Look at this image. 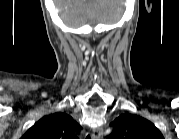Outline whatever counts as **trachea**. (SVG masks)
Returning <instances> with one entry per match:
<instances>
[{"mask_svg":"<svg viewBox=\"0 0 179 139\" xmlns=\"http://www.w3.org/2000/svg\"><path fill=\"white\" fill-rule=\"evenodd\" d=\"M86 139H90V136L88 135V136L86 137Z\"/></svg>","mask_w":179,"mask_h":139,"instance_id":"3493384b","label":"trachea"}]
</instances>
